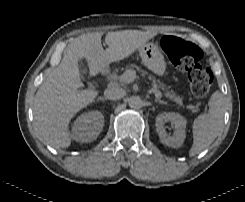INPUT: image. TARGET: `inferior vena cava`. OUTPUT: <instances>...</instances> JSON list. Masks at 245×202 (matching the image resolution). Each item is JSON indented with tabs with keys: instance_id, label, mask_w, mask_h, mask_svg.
Wrapping results in <instances>:
<instances>
[{
	"instance_id": "602c4592",
	"label": "inferior vena cava",
	"mask_w": 245,
	"mask_h": 202,
	"mask_svg": "<svg viewBox=\"0 0 245 202\" xmlns=\"http://www.w3.org/2000/svg\"><path fill=\"white\" fill-rule=\"evenodd\" d=\"M104 96L109 100H117L125 96V91L120 87H112L104 91Z\"/></svg>"
}]
</instances>
